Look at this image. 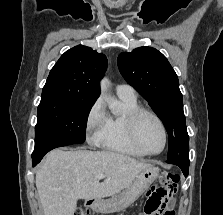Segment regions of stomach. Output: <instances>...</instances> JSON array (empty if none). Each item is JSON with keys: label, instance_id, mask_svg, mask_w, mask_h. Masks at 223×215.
Instances as JSON below:
<instances>
[{"label": "stomach", "instance_id": "stomach-1", "mask_svg": "<svg viewBox=\"0 0 223 215\" xmlns=\"http://www.w3.org/2000/svg\"><path fill=\"white\" fill-rule=\"evenodd\" d=\"M159 175L158 167H154V165H148V167H144L140 173H137L131 187H128V194L126 198H122V201L119 202H96L94 203V207L96 211H100V213H111V211H119V209H123V207H127L130 203H133L143 191H146L148 187H150L151 183L157 179ZM123 195V194H121ZM112 207V208H106ZM116 207V208H115Z\"/></svg>", "mask_w": 223, "mask_h": 215}]
</instances>
